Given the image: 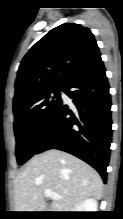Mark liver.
I'll use <instances>...</instances> for the list:
<instances>
[{"instance_id": "1", "label": "liver", "mask_w": 123, "mask_h": 219, "mask_svg": "<svg viewBox=\"0 0 123 219\" xmlns=\"http://www.w3.org/2000/svg\"><path fill=\"white\" fill-rule=\"evenodd\" d=\"M62 196L47 205L44 191ZM103 181L79 158L49 150L31 158L14 180L15 212H73L89 197L102 198Z\"/></svg>"}]
</instances>
